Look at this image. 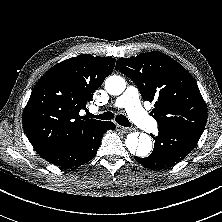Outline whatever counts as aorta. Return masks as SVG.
Segmentation results:
<instances>
[{"mask_svg":"<svg viewBox=\"0 0 222 222\" xmlns=\"http://www.w3.org/2000/svg\"><path fill=\"white\" fill-rule=\"evenodd\" d=\"M126 88L121 76H110L105 81V89L110 95H120ZM126 147L132 155L147 157L152 150V140L147 134L132 133L127 136Z\"/></svg>","mask_w":222,"mask_h":222,"instance_id":"obj_1","label":"aorta"}]
</instances>
